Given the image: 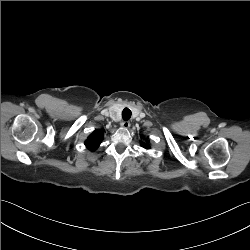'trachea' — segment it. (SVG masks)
I'll list each match as a JSON object with an SVG mask.
<instances>
[{"label": "trachea", "instance_id": "1", "mask_svg": "<svg viewBox=\"0 0 250 250\" xmlns=\"http://www.w3.org/2000/svg\"><path fill=\"white\" fill-rule=\"evenodd\" d=\"M131 110L128 108H124L122 111V118L123 120L127 121L131 118Z\"/></svg>", "mask_w": 250, "mask_h": 250}]
</instances>
